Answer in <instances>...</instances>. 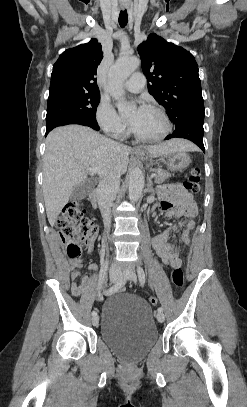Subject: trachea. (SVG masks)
<instances>
[{
  "instance_id": "trachea-1",
  "label": "trachea",
  "mask_w": 247,
  "mask_h": 407,
  "mask_svg": "<svg viewBox=\"0 0 247 407\" xmlns=\"http://www.w3.org/2000/svg\"><path fill=\"white\" fill-rule=\"evenodd\" d=\"M128 23L127 10H121L119 14V25L124 28Z\"/></svg>"
}]
</instances>
